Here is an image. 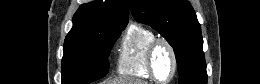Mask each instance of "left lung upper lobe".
Instances as JSON below:
<instances>
[{"label": "left lung upper lobe", "instance_id": "left-lung-upper-lobe-1", "mask_svg": "<svg viewBox=\"0 0 260 84\" xmlns=\"http://www.w3.org/2000/svg\"><path fill=\"white\" fill-rule=\"evenodd\" d=\"M138 22L151 25L173 47L179 84H207L201 27L187 0H128Z\"/></svg>", "mask_w": 260, "mask_h": 84}]
</instances>
